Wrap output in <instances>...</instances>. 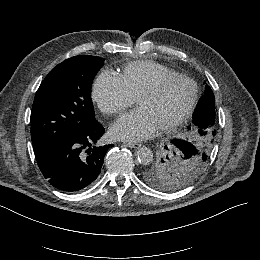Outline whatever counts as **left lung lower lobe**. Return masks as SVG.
<instances>
[{"mask_svg":"<svg viewBox=\"0 0 260 260\" xmlns=\"http://www.w3.org/2000/svg\"><path fill=\"white\" fill-rule=\"evenodd\" d=\"M215 124V102L211 98L202 97L193 115V126L197 128H210ZM181 151L191 153L195 147L181 139L172 140Z\"/></svg>","mask_w":260,"mask_h":260,"instance_id":"0a47b994","label":"left lung lower lobe"}]
</instances>
